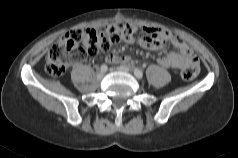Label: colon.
I'll return each mask as SVG.
<instances>
[{
  "label": "colon",
  "instance_id": "5ec220e1",
  "mask_svg": "<svg viewBox=\"0 0 238 158\" xmlns=\"http://www.w3.org/2000/svg\"><path fill=\"white\" fill-rule=\"evenodd\" d=\"M134 34L131 25L113 23L97 29H74L63 35L49 50L45 71L52 77L64 74L67 67L84 59L107 51L113 44L129 40ZM199 73L198 65H190L181 71L184 80H192Z\"/></svg>",
  "mask_w": 238,
  "mask_h": 158
}]
</instances>
